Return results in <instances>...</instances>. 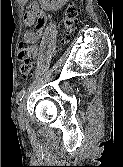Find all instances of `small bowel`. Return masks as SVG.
Instances as JSON below:
<instances>
[{
	"mask_svg": "<svg viewBox=\"0 0 123 167\" xmlns=\"http://www.w3.org/2000/svg\"><path fill=\"white\" fill-rule=\"evenodd\" d=\"M65 0H59L64 2ZM24 22L28 25L36 24V30L24 33V40L30 44L29 57L39 58L42 54V47L38 44L44 35L45 13L43 8L33 3L28 12L24 15Z\"/></svg>",
	"mask_w": 123,
	"mask_h": 167,
	"instance_id": "1",
	"label": "small bowel"
}]
</instances>
